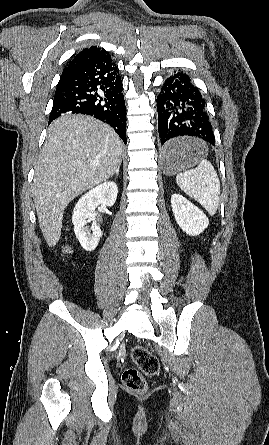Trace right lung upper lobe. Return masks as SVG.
<instances>
[{"label": "right lung upper lobe", "instance_id": "cb5924a9", "mask_svg": "<svg viewBox=\"0 0 269 445\" xmlns=\"http://www.w3.org/2000/svg\"><path fill=\"white\" fill-rule=\"evenodd\" d=\"M107 55H109L108 52H106L103 48L101 49L97 46H91L90 48L83 49L64 68L60 79L68 76L72 71L79 68L80 66L85 65L94 60H97L99 58H103Z\"/></svg>", "mask_w": 269, "mask_h": 445}]
</instances>
